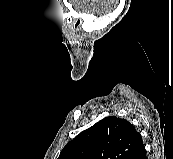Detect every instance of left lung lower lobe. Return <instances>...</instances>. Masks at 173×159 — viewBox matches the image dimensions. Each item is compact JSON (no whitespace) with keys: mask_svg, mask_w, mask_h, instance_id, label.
Here are the masks:
<instances>
[{"mask_svg":"<svg viewBox=\"0 0 173 159\" xmlns=\"http://www.w3.org/2000/svg\"><path fill=\"white\" fill-rule=\"evenodd\" d=\"M132 159H147L146 157V150L144 145L140 147L137 153L132 157Z\"/></svg>","mask_w":173,"mask_h":159,"instance_id":"obj_1","label":"left lung lower lobe"}]
</instances>
